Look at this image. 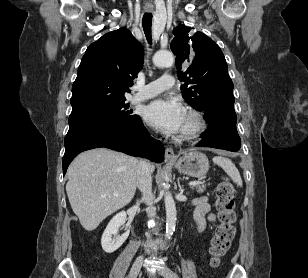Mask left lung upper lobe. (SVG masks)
Here are the masks:
<instances>
[{
    "label": "left lung upper lobe",
    "mask_w": 308,
    "mask_h": 278,
    "mask_svg": "<svg viewBox=\"0 0 308 278\" xmlns=\"http://www.w3.org/2000/svg\"><path fill=\"white\" fill-rule=\"evenodd\" d=\"M190 30L179 24L170 44L176 55L178 77L184 83L183 97L193 108L203 111L221 102L234 103V85L221 49L205 34L192 35Z\"/></svg>",
    "instance_id": "1"
}]
</instances>
